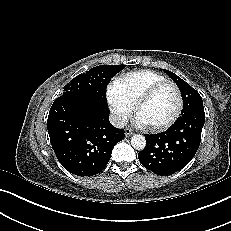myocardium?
Here are the masks:
<instances>
[{"label":"myocardium","instance_id":"myocardium-1","mask_svg":"<svg viewBox=\"0 0 231 231\" xmlns=\"http://www.w3.org/2000/svg\"><path fill=\"white\" fill-rule=\"evenodd\" d=\"M164 85H169L171 86L174 91H175V94H176V105H175V108H174V111L171 115V117L164 123L162 124H155L153 125V129L154 130H164V129H167L168 127H170L175 121L176 119L178 118L180 112H181V109H182V97H181V94H180V91L178 89V87L176 86V84L170 80H161L157 83H155L154 85H152L143 95L142 97L139 99L137 105H136V108H135V111L136 113H139L140 110L142 109V107L146 104V102L150 99V97L152 96V94L157 90L159 89L161 86H164Z\"/></svg>","mask_w":231,"mask_h":231}]
</instances>
